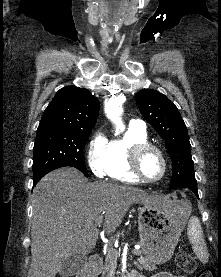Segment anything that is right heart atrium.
I'll use <instances>...</instances> for the list:
<instances>
[{
    "instance_id": "obj_1",
    "label": "right heart atrium",
    "mask_w": 221,
    "mask_h": 277,
    "mask_svg": "<svg viewBox=\"0 0 221 277\" xmlns=\"http://www.w3.org/2000/svg\"><path fill=\"white\" fill-rule=\"evenodd\" d=\"M108 140L104 133L98 131L91 139L87 149V161L91 171L98 177H102L105 172L107 159Z\"/></svg>"
}]
</instances>
